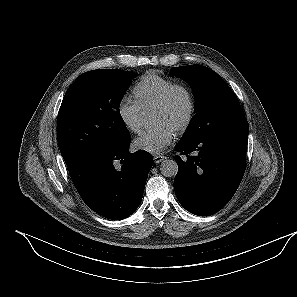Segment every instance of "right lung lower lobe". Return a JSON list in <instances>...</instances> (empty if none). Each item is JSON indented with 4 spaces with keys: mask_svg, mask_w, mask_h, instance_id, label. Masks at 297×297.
<instances>
[{
    "mask_svg": "<svg viewBox=\"0 0 297 297\" xmlns=\"http://www.w3.org/2000/svg\"><path fill=\"white\" fill-rule=\"evenodd\" d=\"M130 141L119 147L92 150L68 166L83 201L111 220L127 218L137 209L153 165L147 151L128 152Z\"/></svg>",
    "mask_w": 297,
    "mask_h": 297,
    "instance_id": "98d812e1",
    "label": "right lung lower lobe"
}]
</instances>
